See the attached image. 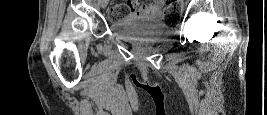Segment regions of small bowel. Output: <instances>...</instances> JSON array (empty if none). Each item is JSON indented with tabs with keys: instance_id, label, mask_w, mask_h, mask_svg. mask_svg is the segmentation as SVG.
<instances>
[{
	"instance_id": "small-bowel-1",
	"label": "small bowel",
	"mask_w": 267,
	"mask_h": 115,
	"mask_svg": "<svg viewBox=\"0 0 267 115\" xmlns=\"http://www.w3.org/2000/svg\"><path fill=\"white\" fill-rule=\"evenodd\" d=\"M164 2L162 0H155L149 4H141L138 1L131 3L133 14L143 15V14H160L161 8Z\"/></svg>"
}]
</instances>
